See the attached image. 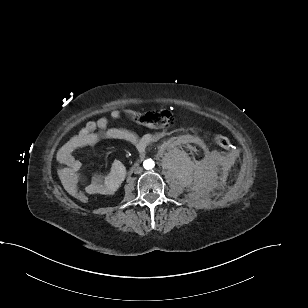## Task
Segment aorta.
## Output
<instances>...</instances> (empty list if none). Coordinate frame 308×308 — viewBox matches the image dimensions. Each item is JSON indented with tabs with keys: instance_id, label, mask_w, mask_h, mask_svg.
I'll return each instance as SVG.
<instances>
[{
	"instance_id": "aorta-1",
	"label": "aorta",
	"mask_w": 308,
	"mask_h": 308,
	"mask_svg": "<svg viewBox=\"0 0 308 308\" xmlns=\"http://www.w3.org/2000/svg\"><path fill=\"white\" fill-rule=\"evenodd\" d=\"M143 166L146 170H150L154 168L155 163L152 159H147L144 161Z\"/></svg>"
}]
</instances>
